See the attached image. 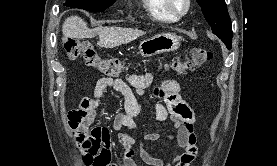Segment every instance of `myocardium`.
I'll return each mask as SVG.
<instances>
[{"instance_id": "myocardium-1", "label": "myocardium", "mask_w": 277, "mask_h": 166, "mask_svg": "<svg viewBox=\"0 0 277 166\" xmlns=\"http://www.w3.org/2000/svg\"><path fill=\"white\" fill-rule=\"evenodd\" d=\"M166 10L174 16L176 19L185 16L191 9L192 0H185V9L183 11H177L174 9L171 0H163Z\"/></svg>"}]
</instances>
